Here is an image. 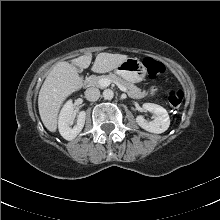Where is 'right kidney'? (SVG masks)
<instances>
[{"mask_svg": "<svg viewBox=\"0 0 220 220\" xmlns=\"http://www.w3.org/2000/svg\"><path fill=\"white\" fill-rule=\"evenodd\" d=\"M73 110L72 101H67L60 112L58 120V128L61 136L69 141L73 140L82 131L86 117L85 111L79 112L77 116V123L73 126V128H71L70 123L74 118Z\"/></svg>", "mask_w": 220, "mask_h": 220, "instance_id": "1", "label": "right kidney"}]
</instances>
